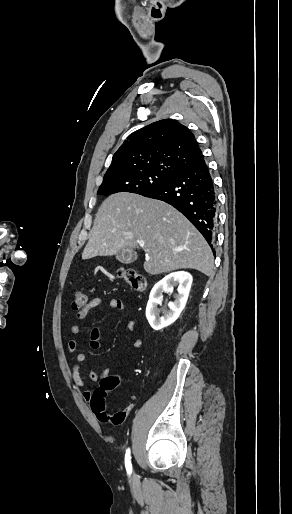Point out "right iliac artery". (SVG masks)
<instances>
[{"label":"right iliac artery","instance_id":"82829eb1","mask_svg":"<svg viewBox=\"0 0 292 514\" xmlns=\"http://www.w3.org/2000/svg\"><path fill=\"white\" fill-rule=\"evenodd\" d=\"M125 467L128 474L132 473V464H131V453L130 449L128 448L125 454Z\"/></svg>","mask_w":292,"mask_h":514}]
</instances>
